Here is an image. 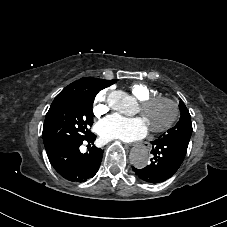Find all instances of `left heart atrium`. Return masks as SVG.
I'll use <instances>...</instances> for the list:
<instances>
[{"label": "left heart atrium", "instance_id": "39dd6f15", "mask_svg": "<svg viewBox=\"0 0 227 227\" xmlns=\"http://www.w3.org/2000/svg\"><path fill=\"white\" fill-rule=\"evenodd\" d=\"M148 129V125L141 117L125 119L118 115H112L101 120L96 127L102 140H120L124 142L144 138L148 133Z\"/></svg>", "mask_w": 227, "mask_h": 227}]
</instances>
